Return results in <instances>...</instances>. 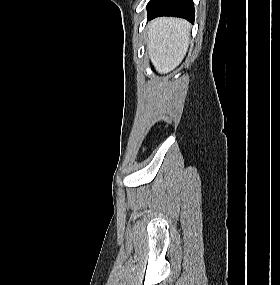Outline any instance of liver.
Here are the masks:
<instances>
[{
  "label": "liver",
  "instance_id": "1",
  "mask_svg": "<svg viewBox=\"0 0 280 285\" xmlns=\"http://www.w3.org/2000/svg\"><path fill=\"white\" fill-rule=\"evenodd\" d=\"M190 24L178 18L161 17L148 24L147 51L155 69L165 74L184 58L189 43Z\"/></svg>",
  "mask_w": 280,
  "mask_h": 285
}]
</instances>
